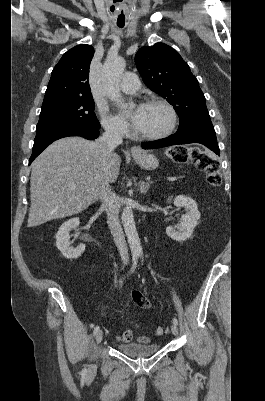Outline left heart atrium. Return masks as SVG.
Returning a JSON list of instances; mask_svg holds the SVG:
<instances>
[{"label": "left heart atrium", "instance_id": "left-heart-atrium-1", "mask_svg": "<svg viewBox=\"0 0 265 401\" xmlns=\"http://www.w3.org/2000/svg\"><path fill=\"white\" fill-rule=\"evenodd\" d=\"M145 108H146L145 105H140L134 111L133 122H134V124L136 126H138L141 123V121L143 119V116H144V113H145ZM119 112H120L121 115H125L126 114V108L124 106H121Z\"/></svg>", "mask_w": 265, "mask_h": 401}]
</instances>
